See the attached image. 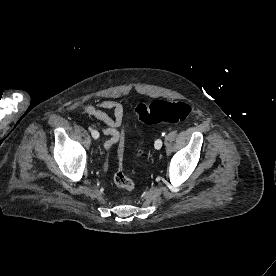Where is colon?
Listing matches in <instances>:
<instances>
[{
    "label": "colon",
    "mask_w": 276,
    "mask_h": 276,
    "mask_svg": "<svg viewBox=\"0 0 276 276\" xmlns=\"http://www.w3.org/2000/svg\"><path fill=\"white\" fill-rule=\"evenodd\" d=\"M190 111V105L185 102L164 100L154 101L150 104H138L135 108L137 117L145 124L181 122L188 117ZM114 183L119 189L127 192H131L135 188L133 180L127 175L123 165H120L115 172Z\"/></svg>",
    "instance_id": "5ec220e1"
}]
</instances>
